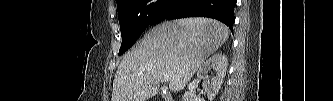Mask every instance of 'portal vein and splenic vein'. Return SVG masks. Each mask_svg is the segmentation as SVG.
Returning a JSON list of instances; mask_svg holds the SVG:
<instances>
[{
  "label": "portal vein and splenic vein",
  "instance_id": "obj_1",
  "mask_svg": "<svg viewBox=\"0 0 333 101\" xmlns=\"http://www.w3.org/2000/svg\"><path fill=\"white\" fill-rule=\"evenodd\" d=\"M170 79H171V76H170V75H165V76L163 77V81H165V82H168Z\"/></svg>",
  "mask_w": 333,
  "mask_h": 101
}]
</instances>
